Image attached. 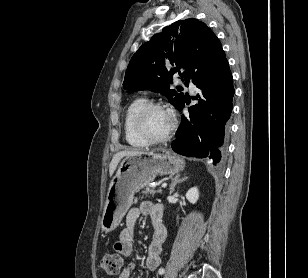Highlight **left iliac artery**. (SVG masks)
Masks as SVG:
<instances>
[{
    "label": "left iliac artery",
    "instance_id": "1",
    "mask_svg": "<svg viewBox=\"0 0 308 278\" xmlns=\"http://www.w3.org/2000/svg\"><path fill=\"white\" fill-rule=\"evenodd\" d=\"M158 273H159L160 275L164 274V273H165L164 268H160L159 271H158Z\"/></svg>",
    "mask_w": 308,
    "mask_h": 278
}]
</instances>
